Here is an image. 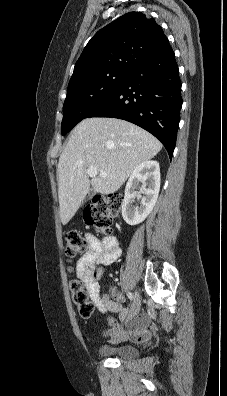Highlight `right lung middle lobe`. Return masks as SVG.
<instances>
[{"mask_svg": "<svg viewBox=\"0 0 227 396\" xmlns=\"http://www.w3.org/2000/svg\"><path fill=\"white\" fill-rule=\"evenodd\" d=\"M130 73L131 70H109L68 87L63 106L62 135L68 133L96 106L108 99Z\"/></svg>", "mask_w": 227, "mask_h": 396, "instance_id": "dd1d6c3e", "label": "right lung middle lobe"}]
</instances>
